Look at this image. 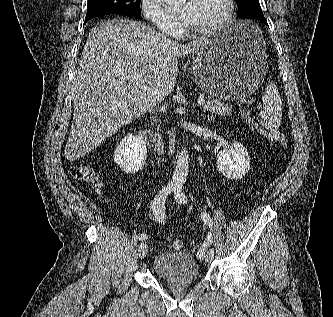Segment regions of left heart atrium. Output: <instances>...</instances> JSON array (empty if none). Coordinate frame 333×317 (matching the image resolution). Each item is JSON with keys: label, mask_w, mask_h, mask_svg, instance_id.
Listing matches in <instances>:
<instances>
[{"label": "left heart atrium", "mask_w": 333, "mask_h": 317, "mask_svg": "<svg viewBox=\"0 0 333 317\" xmlns=\"http://www.w3.org/2000/svg\"><path fill=\"white\" fill-rule=\"evenodd\" d=\"M192 1L187 0L177 11V16L182 21L188 22L192 13Z\"/></svg>", "instance_id": "left-heart-atrium-1"}]
</instances>
